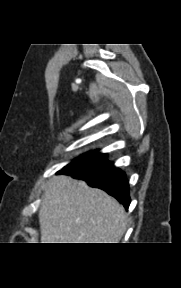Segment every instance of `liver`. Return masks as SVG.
Segmentation results:
<instances>
[{
  "label": "liver",
  "instance_id": "6515ba94",
  "mask_svg": "<svg viewBox=\"0 0 181 288\" xmlns=\"http://www.w3.org/2000/svg\"><path fill=\"white\" fill-rule=\"evenodd\" d=\"M39 223L41 243H119L127 228L113 197L66 175L47 183Z\"/></svg>",
  "mask_w": 181,
  "mask_h": 288
}]
</instances>
